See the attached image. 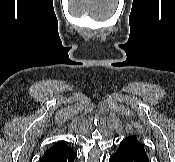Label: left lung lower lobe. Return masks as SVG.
Listing matches in <instances>:
<instances>
[{
	"label": "left lung lower lobe",
	"mask_w": 175,
	"mask_h": 162,
	"mask_svg": "<svg viewBox=\"0 0 175 162\" xmlns=\"http://www.w3.org/2000/svg\"><path fill=\"white\" fill-rule=\"evenodd\" d=\"M109 162H149L143 145L135 136L124 139Z\"/></svg>",
	"instance_id": "0a47b994"
}]
</instances>
